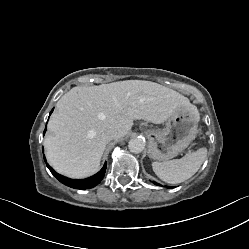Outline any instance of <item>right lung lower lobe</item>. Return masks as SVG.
<instances>
[{
	"mask_svg": "<svg viewBox=\"0 0 249 249\" xmlns=\"http://www.w3.org/2000/svg\"><path fill=\"white\" fill-rule=\"evenodd\" d=\"M53 111V110H52ZM52 111L50 112V114L52 113ZM46 131V129H45ZM44 131V133H45ZM44 160L45 156H44ZM47 167L49 168V170L51 171V173L63 184L75 188V189H87V188H92L94 186H96L97 184H99L101 182V180L104 177L105 171H106V164L103 166V168L94 176L89 177L87 179H82V180H75V179H69L67 177H64L62 175H59L58 173H56L48 164Z\"/></svg>",
	"mask_w": 249,
	"mask_h": 249,
	"instance_id": "obj_1",
	"label": "right lung lower lobe"
}]
</instances>
